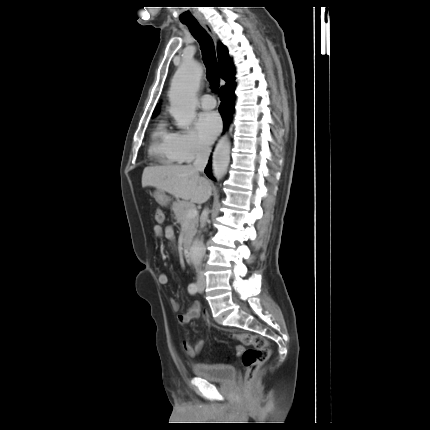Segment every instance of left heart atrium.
Wrapping results in <instances>:
<instances>
[{
  "label": "left heart atrium",
  "mask_w": 430,
  "mask_h": 430,
  "mask_svg": "<svg viewBox=\"0 0 430 430\" xmlns=\"http://www.w3.org/2000/svg\"><path fill=\"white\" fill-rule=\"evenodd\" d=\"M199 138L210 144L221 130V119L216 112H205L199 115L196 123Z\"/></svg>",
  "instance_id": "1"
}]
</instances>
